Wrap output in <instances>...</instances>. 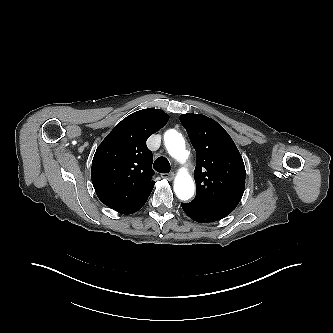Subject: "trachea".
I'll return each mask as SVG.
<instances>
[{
  "label": "trachea",
  "mask_w": 333,
  "mask_h": 333,
  "mask_svg": "<svg viewBox=\"0 0 333 333\" xmlns=\"http://www.w3.org/2000/svg\"><path fill=\"white\" fill-rule=\"evenodd\" d=\"M153 168L159 173H169L170 163L166 157L161 156L155 160Z\"/></svg>",
  "instance_id": "3493384b"
}]
</instances>
